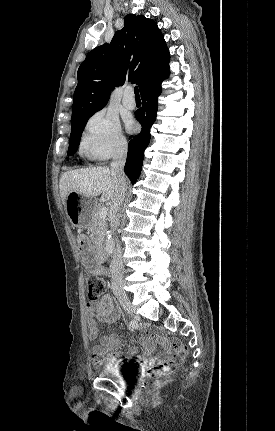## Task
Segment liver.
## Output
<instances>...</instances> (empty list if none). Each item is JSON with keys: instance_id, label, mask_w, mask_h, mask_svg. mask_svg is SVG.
<instances>
[{"instance_id": "1", "label": "liver", "mask_w": 275, "mask_h": 431, "mask_svg": "<svg viewBox=\"0 0 275 431\" xmlns=\"http://www.w3.org/2000/svg\"><path fill=\"white\" fill-rule=\"evenodd\" d=\"M60 197L65 205L69 192H77L80 195L95 198L101 195V201L112 200L117 181L107 167H92L65 172L59 182Z\"/></svg>"}]
</instances>
